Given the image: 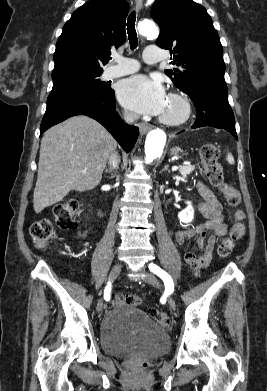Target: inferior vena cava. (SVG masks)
<instances>
[{
	"instance_id": "obj_1",
	"label": "inferior vena cava",
	"mask_w": 267,
	"mask_h": 391,
	"mask_svg": "<svg viewBox=\"0 0 267 391\" xmlns=\"http://www.w3.org/2000/svg\"><path fill=\"white\" fill-rule=\"evenodd\" d=\"M138 116L136 114L128 113L125 115V121L127 123H133ZM120 161V157L118 156L117 152H113L109 158V164L112 168H117L118 163Z\"/></svg>"
}]
</instances>
